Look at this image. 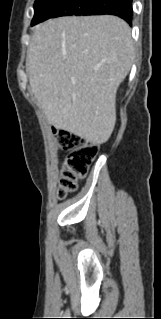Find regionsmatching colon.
Here are the masks:
<instances>
[{"label": "colon", "mask_w": 161, "mask_h": 319, "mask_svg": "<svg viewBox=\"0 0 161 319\" xmlns=\"http://www.w3.org/2000/svg\"><path fill=\"white\" fill-rule=\"evenodd\" d=\"M60 149L68 152L60 169V198L66 197L78 187V182L88 173L89 165L98 153V145L69 132L56 130Z\"/></svg>", "instance_id": "1"}]
</instances>
